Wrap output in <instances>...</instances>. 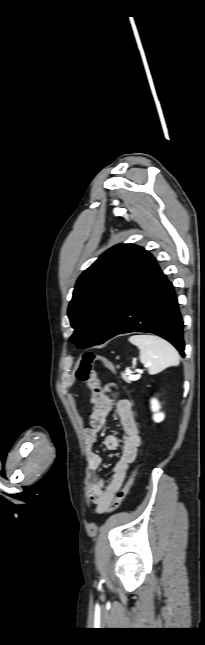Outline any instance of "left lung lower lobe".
<instances>
[{"mask_svg": "<svg viewBox=\"0 0 205 645\" xmlns=\"http://www.w3.org/2000/svg\"><path fill=\"white\" fill-rule=\"evenodd\" d=\"M183 327L174 286L142 248L119 295L105 341L119 334L148 332L166 339L184 356Z\"/></svg>", "mask_w": 205, "mask_h": 645, "instance_id": "0a47b994", "label": "left lung lower lobe"}]
</instances>
